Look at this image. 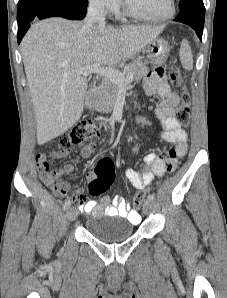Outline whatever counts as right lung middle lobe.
<instances>
[{"label": "right lung middle lobe", "instance_id": "obj_1", "mask_svg": "<svg viewBox=\"0 0 227 298\" xmlns=\"http://www.w3.org/2000/svg\"><path fill=\"white\" fill-rule=\"evenodd\" d=\"M40 1H43V0H19L18 7H17V13L32 6L33 4H35L37 2H40ZM67 1H71L76 4L88 6L87 0H67Z\"/></svg>", "mask_w": 227, "mask_h": 298}]
</instances>
